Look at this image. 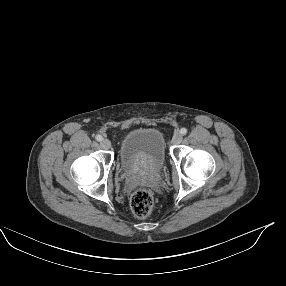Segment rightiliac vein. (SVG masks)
<instances>
[{"label":"right iliac vein","instance_id":"obj_1","mask_svg":"<svg viewBox=\"0 0 286 286\" xmlns=\"http://www.w3.org/2000/svg\"><path fill=\"white\" fill-rule=\"evenodd\" d=\"M101 147L104 149H109L111 147V142L108 139L101 140Z\"/></svg>","mask_w":286,"mask_h":286}]
</instances>
